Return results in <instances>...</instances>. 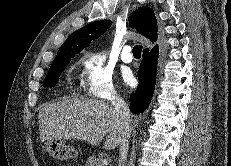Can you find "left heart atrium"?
<instances>
[{"mask_svg":"<svg viewBox=\"0 0 231 166\" xmlns=\"http://www.w3.org/2000/svg\"><path fill=\"white\" fill-rule=\"evenodd\" d=\"M123 79L127 84H132L134 81V78H133L132 73L130 71H127L126 73H124Z\"/></svg>","mask_w":231,"mask_h":166,"instance_id":"obj_1","label":"left heart atrium"}]
</instances>
